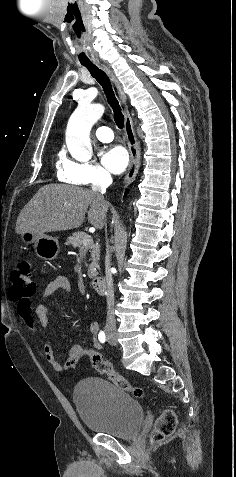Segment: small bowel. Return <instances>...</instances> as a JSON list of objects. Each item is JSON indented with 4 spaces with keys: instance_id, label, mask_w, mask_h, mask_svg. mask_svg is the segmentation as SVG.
<instances>
[{
    "instance_id": "c3829d8e",
    "label": "small bowel",
    "mask_w": 236,
    "mask_h": 477,
    "mask_svg": "<svg viewBox=\"0 0 236 477\" xmlns=\"http://www.w3.org/2000/svg\"><path fill=\"white\" fill-rule=\"evenodd\" d=\"M60 290L66 292H71L72 290L69 279L63 275H58L53 278L42 291L41 297L45 300ZM49 312V304L42 301L37 305L34 311L29 308L23 312H19V314L28 327L35 328L36 325L39 324L41 327L47 328L49 323ZM88 330L90 333L91 346L80 344L69 347L65 361H60L58 359L54 346L50 342L45 343L43 348L45 358L55 371L64 372L68 369H74L85 356L90 357L92 354L99 355V350L101 348L97 338L99 335V324L97 322L90 323Z\"/></svg>"
}]
</instances>
